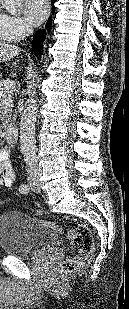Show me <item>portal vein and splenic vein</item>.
<instances>
[{
    "label": "portal vein and splenic vein",
    "instance_id": "portal-vein-and-splenic-vein-1",
    "mask_svg": "<svg viewBox=\"0 0 129 309\" xmlns=\"http://www.w3.org/2000/svg\"><path fill=\"white\" fill-rule=\"evenodd\" d=\"M15 81L14 80H6V82L3 84L7 89H14L15 88Z\"/></svg>",
    "mask_w": 129,
    "mask_h": 309
}]
</instances>
